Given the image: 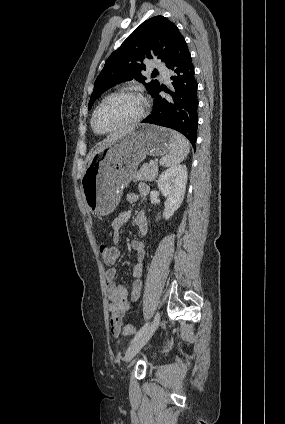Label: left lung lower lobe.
Wrapping results in <instances>:
<instances>
[{
  "label": "left lung lower lobe",
  "instance_id": "left-lung-lower-lobe-1",
  "mask_svg": "<svg viewBox=\"0 0 285 424\" xmlns=\"http://www.w3.org/2000/svg\"><path fill=\"white\" fill-rule=\"evenodd\" d=\"M166 67L174 72L171 77L173 89L165 90L159 85L151 94L154 98L153 112L142 123L174 129L186 136L195 149L199 103L197 82L191 55L183 36L178 39ZM162 90L170 96L162 98L159 95Z\"/></svg>",
  "mask_w": 285,
  "mask_h": 424
}]
</instances>
